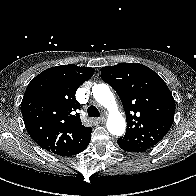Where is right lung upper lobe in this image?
<instances>
[{
	"label": "right lung upper lobe",
	"mask_w": 196,
	"mask_h": 196,
	"mask_svg": "<svg viewBox=\"0 0 196 196\" xmlns=\"http://www.w3.org/2000/svg\"><path fill=\"white\" fill-rule=\"evenodd\" d=\"M94 73L74 64L44 70L31 80L23 96L21 111L31 138L43 149L64 156L91 136L76 110V90Z\"/></svg>",
	"instance_id": "1"
}]
</instances>
